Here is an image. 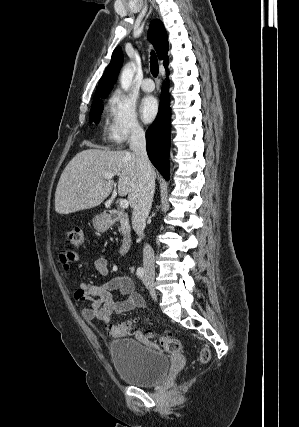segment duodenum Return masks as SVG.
Segmentation results:
<instances>
[{
	"instance_id": "1",
	"label": "duodenum",
	"mask_w": 299,
	"mask_h": 427,
	"mask_svg": "<svg viewBox=\"0 0 299 427\" xmlns=\"http://www.w3.org/2000/svg\"><path fill=\"white\" fill-rule=\"evenodd\" d=\"M106 218H107V223L109 225H112L117 221L124 219L125 213L119 210H109L106 212ZM130 249H131V240L128 238H125L121 243V246L119 249L120 256H126L130 252Z\"/></svg>"
}]
</instances>
